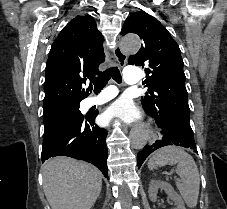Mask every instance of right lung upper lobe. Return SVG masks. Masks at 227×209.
Instances as JSON below:
<instances>
[{
	"mask_svg": "<svg viewBox=\"0 0 227 209\" xmlns=\"http://www.w3.org/2000/svg\"><path fill=\"white\" fill-rule=\"evenodd\" d=\"M102 43L103 36L89 15L75 17L61 30L46 63L43 107L81 101L89 95L91 84L87 90L83 84L101 74Z\"/></svg>",
	"mask_w": 227,
	"mask_h": 209,
	"instance_id": "right-lung-upper-lobe-1",
	"label": "right lung upper lobe"
}]
</instances>
